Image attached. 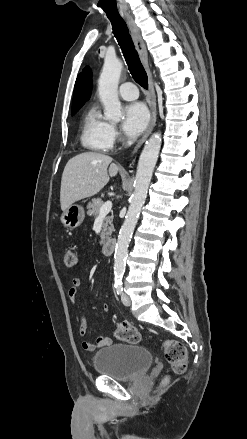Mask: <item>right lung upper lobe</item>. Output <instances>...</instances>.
Returning <instances> with one entry per match:
<instances>
[{
  "label": "right lung upper lobe",
  "mask_w": 247,
  "mask_h": 439,
  "mask_svg": "<svg viewBox=\"0 0 247 439\" xmlns=\"http://www.w3.org/2000/svg\"><path fill=\"white\" fill-rule=\"evenodd\" d=\"M90 93L91 70L86 67L83 72L77 76L75 82L72 111L80 109L84 105V103L90 98Z\"/></svg>",
  "instance_id": "obj_1"
}]
</instances>
